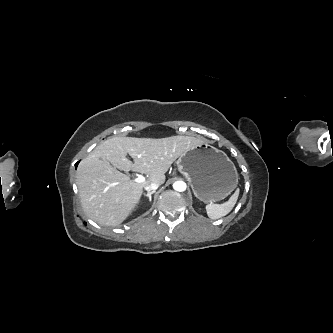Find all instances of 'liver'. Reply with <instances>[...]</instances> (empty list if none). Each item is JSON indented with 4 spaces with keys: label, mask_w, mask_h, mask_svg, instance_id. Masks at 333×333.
Masks as SVG:
<instances>
[{
    "label": "liver",
    "mask_w": 333,
    "mask_h": 333,
    "mask_svg": "<svg viewBox=\"0 0 333 333\" xmlns=\"http://www.w3.org/2000/svg\"><path fill=\"white\" fill-rule=\"evenodd\" d=\"M202 143V139L191 136L107 139L78 165L76 183L85 213L99 225H120L139 203L143 187L163 184L173 162ZM131 170L148 178L138 183L121 172Z\"/></svg>",
    "instance_id": "obj_1"
}]
</instances>
